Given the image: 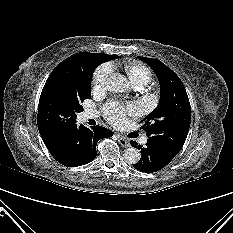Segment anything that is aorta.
I'll use <instances>...</instances> for the list:
<instances>
[{
    "label": "aorta",
    "mask_w": 233,
    "mask_h": 233,
    "mask_svg": "<svg viewBox=\"0 0 233 233\" xmlns=\"http://www.w3.org/2000/svg\"><path fill=\"white\" fill-rule=\"evenodd\" d=\"M106 88L113 93H123L129 88V82L120 73L112 74L106 81ZM123 158L128 164H136L140 159V151L134 147L125 149Z\"/></svg>",
    "instance_id": "obj_1"
}]
</instances>
